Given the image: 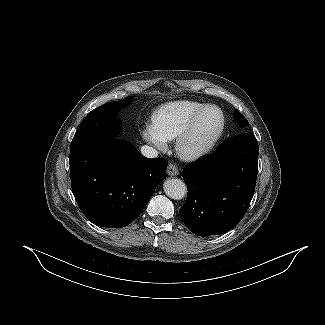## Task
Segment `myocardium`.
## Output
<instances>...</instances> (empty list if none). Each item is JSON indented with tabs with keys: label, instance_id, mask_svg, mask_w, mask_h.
<instances>
[{
	"label": "myocardium",
	"instance_id": "1",
	"mask_svg": "<svg viewBox=\"0 0 325 325\" xmlns=\"http://www.w3.org/2000/svg\"><path fill=\"white\" fill-rule=\"evenodd\" d=\"M207 109H215L219 112L221 117V122L215 133L211 136V138L203 145L201 146H193L191 139L193 136V133L195 131V128L204 114V112ZM226 119L223 111L216 105L207 104L201 109H199L194 116L191 118V120L188 122L186 127L183 129V131L177 136L175 141V149L178 153V155L188 161L197 160L209 152L212 151L220 137L222 136V133L225 129Z\"/></svg>",
	"mask_w": 325,
	"mask_h": 325
}]
</instances>
